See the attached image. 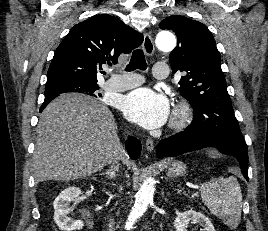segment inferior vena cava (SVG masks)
Returning <instances> with one entry per match:
<instances>
[{
	"mask_svg": "<svg viewBox=\"0 0 268 231\" xmlns=\"http://www.w3.org/2000/svg\"><path fill=\"white\" fill-rule=\"evenodd\" d=\"M114 225H115V222L113 219H110L109 221V231H114Z\"/></svg>",
	"mask_w": 268,
	"mask_h": 231,
	"instance_id": "1",
	"label": "inferior vena cava"
}]
</instances>
